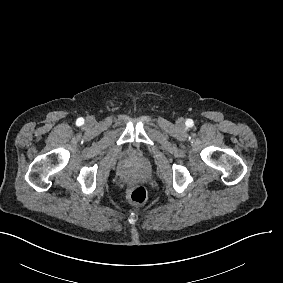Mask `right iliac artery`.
I'll list each match as a JSON object with an SVG mask.
<instances>
[{"instance_id":"right-iliac-artery-1","label":"right iliac artery","mask_w":283,"mask_h":283,"mask_svg":"<svg viewBox=\"0 0 283 283\" xmlns=\"http://www.w3.org/2000/svg\"><path fill=\"white\" fill-rule=\"evenodd\" d=\"M76 124L78 126H81L82 124H84V119L83 118H78L77 121H76Z\"/></svg>"}]
</instances>
